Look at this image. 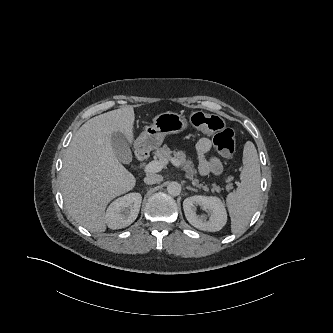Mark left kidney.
<instances>
[{
    "label": "left kidney",
    "mask_w": 333,
    "mask_h": 333,
    "mask_svg": "<svg viewBox=\"0 0 333 333\" xmlns=\"http://www.w3.org/2000/svg\"><path fill=\"white\" fill-rule=\"evenodd\" d=\"M197 206L202 207L210 215V219L197 215ZM183 209L188 222L199 230L216 232L227 222V212L221 199L214 196L195 195L183 202Z\"/></svg>",
    "instance_id": "left-kidney-1"
}]
</instances>
